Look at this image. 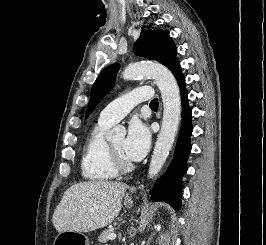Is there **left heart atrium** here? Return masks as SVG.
Masks as SVG:
<instances>
[{"label": "left heart atrium", "instance_id": "39dd6f15", "mask_svg": "<svg viewBox=\"0 0 266 245\" xmlns=\"http://www.w3.org/2000/svg\"><path fill=\"white\" fill-rule=\"evenodd\" d=\"M150 144V133L147 126L139 120L129 123L123 142V154L129 162H138L146 154Z\"/></svg>", "mask_w": 266, "mask_h": 245}]
</instances>
